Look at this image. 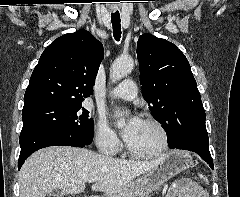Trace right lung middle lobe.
<instances>
[{"label":"right lung middle lobe","mask_w":240,"mask_h":197,"mask_svg":"<svg viewBox=\"0 0 240 197\" xmlns=\"http://www.w3.org/2000/svg\"><path fill=\"white\" fill-rule=\"evenodd\" d=\"M23 127H51L89 145L93 140V119L82 104H47L23 110Z\"/></svg>","instance_id":"right-lung-middle-lobe-1"}]
</instances>
